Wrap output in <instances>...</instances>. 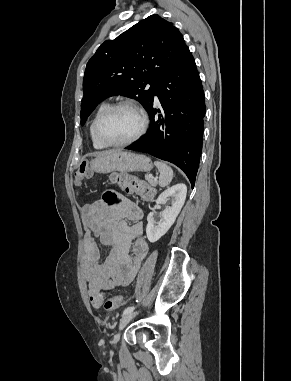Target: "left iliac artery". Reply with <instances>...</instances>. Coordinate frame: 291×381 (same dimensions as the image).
<instances>
[{"label": "left iliac artery", "instance_id": "44dca946", "mask_svg": "<svg viewBox=\"0 0 291 381\" xmlns=\"http://www.w3.org/2000/svg\"><path fill=\"white\" fill-rule=\"evenodd\" d=\"M134 309H135V306H129V307H127V308L124 310L123 315L132 312Z\"/></svg>", "mask_w": 291, "mask_h": 381}]
</instances>
